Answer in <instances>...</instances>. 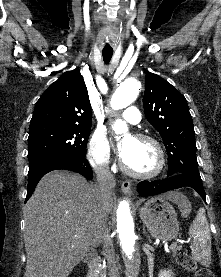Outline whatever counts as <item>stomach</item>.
I'll use <instances>...</instances> for the list:
<instances>
[{"label":"stomach","instance_id":"1","mask_svg":"<svg viewBox=\"0 0 221 277\" xmlns=\"http://www.w3.org/2000/svg\"><path fill=\"white\" fill-rule=\"evenodd\" d=\"M182 216L190 212V204L183 200L179 204ZM139 214L144 225L154 238L172 240L179 233L177 213L173 206L163 197H153L139 209Z\"/></svg>","mask_w":221,"mask_h":277}]
</instances>
